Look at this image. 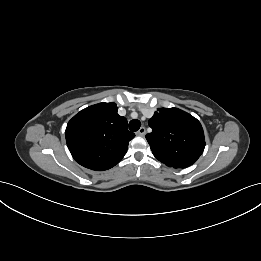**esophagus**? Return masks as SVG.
Here are the masks:
<instances>
[{
    "instance_id": "34e87169",
    "label": "esophagus",
    "mask_w": 261,
    "mask_h": 261,
    "mask_svg": "<svg viewBox=\"0 0 261 261\" xmlns=\"http://www.w3.org/2000/svg\"><path fill=\"white\" fill-rule=\"evenodd\" d=\"M145 133H146L145 127H141V128L137 131L136 134H137L138 136H144Z\"/></svg>"
}]
</instances>
